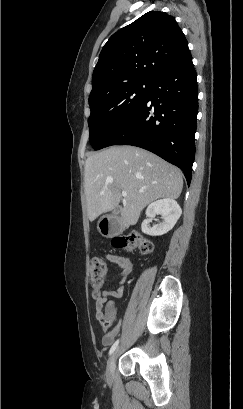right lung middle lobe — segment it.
<instances>
[{"label":"right lung middle lobe","instance_id":"dd1d6c3e","mask_svg":"<svg viewBox=\"0 0 243 409\" xmlns=\"http://www.w3.org/2000/svg\"><path fill=\"white\" fill-rule=\"evenodd\" d=\"M152 84L130 83L90 104L89 141L95 150L109 141L144 103Z\"/></svg>","mask_w":243,"mask_h":409}]
</instances>
